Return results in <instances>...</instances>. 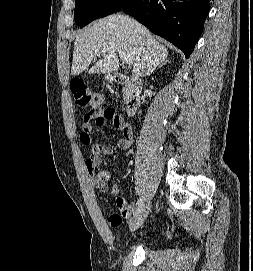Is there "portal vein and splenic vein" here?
Here are the masks:
<instances>
[{
	"label": "portal vein and splenic vein",
	"instance_id": "1",
	"mask_svg": "<svg viewBox=\"0 0 253 271\" xmlns=\"http://www.w3.org/2000/svg\"><path fill=\"white\" fill-rule=\"evenodd\" d=\"M119 57L121 58L123 63H126L127 65H131L133 61L130 59L129 55H127L124 52H119Z\"/></svg>",
	"mask_w": 253,
	"mask_h": 271
}]
</instances>
